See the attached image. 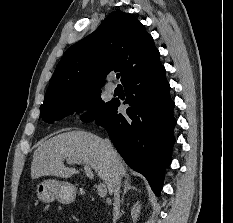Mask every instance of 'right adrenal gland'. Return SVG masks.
I'll use <instances>...</instances> for the list:
<instances>
[{
	"label": "right adrenal gland",
	"instance_id": "2a0ac1e0",
	"mask_svg": "<svg viewBox=\"0 0 233 223\" xmlns=\"http://www.w3.org/2000/svg\"><path fill=\"white\" fill-rule=\"evenodd\" d=\"M133 189H136V187L132 185V181H130V177H126V179H124V191L122 193L121 203H123L124 201L125 193H128V191H133Z\"/></svg>",
	"mask_w": 233,
	"mask_h": 223
}]
</instances>
